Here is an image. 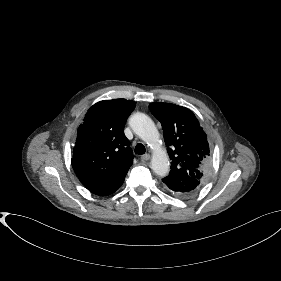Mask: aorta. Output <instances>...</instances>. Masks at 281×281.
<instances>
[{
  "label": "aorta",
  "mask_w": 281,
  "mask_h": 281,
  "mask_svg": "<svg viewBox=\"0 0 281 281\" xmlns=\"http://www.w3.org/2000/svg\"><path fill=\"white\" fill-rule=\"evenodd\" d=\"M129 123L135 134L153 149L152 170L159 176H166L170 168L169 158L161 146L159 132L152 119L143 113H135Z\"/></svg>",
  "instance_id": "obj_1"
}]
</instances>
